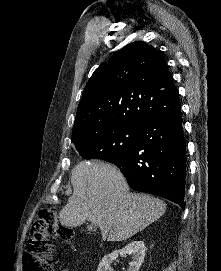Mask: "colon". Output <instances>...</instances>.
Returning <instances> with one entry per match:
<instances>
[{
    "label": "colon",
    "mask_w": 221,
    "mask_h": 271,
    "mask_svg": "<svg viewBox=\"0 0 221 271\" xmlns=\"http://www.w3.org/2000/svg\"><path fill=\"white\" fill-rule=\"evenodd\" d=\"M32 237L22 251V271H52L49 253L53 251L52 239L73 236L72 228L62 224L54 206L44 207L33 223Z\"/></svg>",
    "instance_id": "colon-1"
}]
</instances>
